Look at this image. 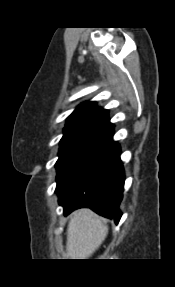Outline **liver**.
I'll list each match as a JSON object with an SVG mask.
<instances>
[{
	"label": "liver",
	"mask_w": 175,
	"mask_h": 287,
	"mask_svg": "<svg viewBox=\"0 0 175 287\" xmlns=\"http://www.w3.org/2000/svg\"><path fill=\"white\" fill-rule=\"evenodd\" d=\"M108 234V226L89 209L73 213L67 227L66 252L71 259H88Z\"/></svg>",
	"instance_id": "1"
}]
</instances>
